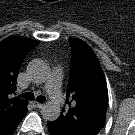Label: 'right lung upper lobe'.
I'll return each mask as SVG.
<instances>
[{
    "label": "right lung upper lobe",
    "mask_w": 135,
    "mask_h": 135,
    "mask_svg": "<svg viewBox=\"0 0 135 135\" xmlns=\"http://www.w3.org/2000/svg\"><path fill=\"white\" fill-rule=\"evenodd\" d=\"M38 41L10 36L0 42V135H10L27 113V101L12 98L21 63Z\"/></svg>",
    "instance_id": "right-lung-upper-lobe-1"
}]
</instances>
